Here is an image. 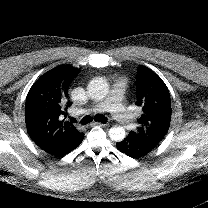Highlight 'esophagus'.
Segmentation results:
<instances>
[{"instance_id":"obj_1","label":"esophagus","mask_w":208,"mask_h":208,"mask_svg":"<svg viewBox=\"0 0 208 208\" xmlns=\"http://www.w3.org/2000/svg\"><path fill=\"white\" fill-rule=\"evenodd\" d=\"M101 126V127H109V123H100V122H93L90 124V126Z\"/></svg>"}]
</instances>
